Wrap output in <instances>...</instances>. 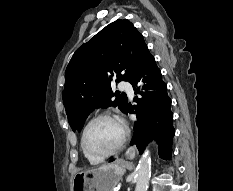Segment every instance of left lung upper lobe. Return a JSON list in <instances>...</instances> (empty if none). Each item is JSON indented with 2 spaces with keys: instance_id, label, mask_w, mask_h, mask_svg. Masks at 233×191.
I'll use <instances>...</instances> for the list:
<instances>
[{
  "instance_id": "5c2ea615",
  "label": "left lung upper lobe",
  "mask_w": 233,
  "mask_h": 191,
  "mask_svg": "<svg viewBox=\"0 0 233 191\" xmlns=\"http://www.w3.org/2000/svg\"><path fill=\"white\" fill-rule=\"evenodd\" d=\"M149 54L142 34L121 19L78 48L66 68L63 91L71 128L80 131L89 113L99 107L119 106L126 112L125 93H113L111 84L129 81Z\"/></svg>"
}]
</instances>
